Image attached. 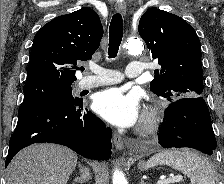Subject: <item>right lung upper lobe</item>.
I'll return each instance as SVG.
<instances>
[{
    "instance_id": "obj_1",
    "label": "right lung upper lobe",
    "mask_w": 224,
    "mask_h": 184,
    "mask_svg": "<svg viewBox=\"0 0 224 184\" xmlns=\"http://www.w3.org/2000/svg\"><path fill=\"white\" fill-rule=\"evenodd\" d=\"M102 36L100 18L91 8L54 18L34 37L25 84H73L77 62L91 59Z\"/></svg>"
}]
</instances>
